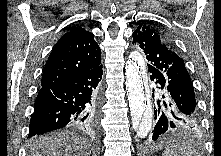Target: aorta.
<instances>
[{"label": "aorta", "mask_w": 221, "mask_h": 156, "mask_svg": "<svg viewBox=\"0 0 221 156\" xmlns=\"http://www.w3.org/2000/svg\"><path fill=\"white\" fill-rule=\"evenodd\" d=\"M125 78L132 126L140 138H145L151 130L153 113L146 66L138 51L132 52L126 62Z\"/></svg>", "instance_id": "aorta-1"}]
</instances>
